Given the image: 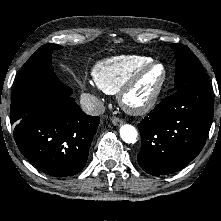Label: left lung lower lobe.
<instances>
[{
  "label": "left lung lower lobe",
  "instance_id": "left-lung-lower-lobe-1",
  "mask_svg": "<svg viewBox=\"0 0 221 221\" xmlns=\"http://www.w3.org/2000/svg\"><path fill=\"white\" fill-rule=\"evenodd\" d=\"M207 82L194 81L165 98L139 124L141 168L155 176L185 167L202 150L213 120Z\"/></svg>",
  "mask_w": 221,
  "mask_h": 221
}]
</instances>
